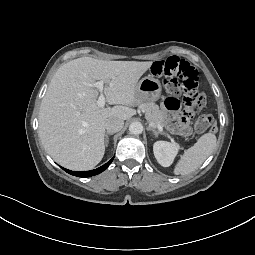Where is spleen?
I'll return each mask as SVG.
<instances>
[{
  "mask_svg": "<svg viewBox=\"0 0 255 255\" xmlns=\"http://www.w3.org/2000/svg\"><path fill=\"white\" fill-rule=\"evenodd\" d=\"M217 138L213 133L202 135L197 142L181 155L174 168L175 175H188L198 169L212 154Z\"/></svg>",
  "mask_w": 255,
  "mask_h": 255,
  "instance_id": "3e777b00",
  "label": "spleen"
}]
</instances>
